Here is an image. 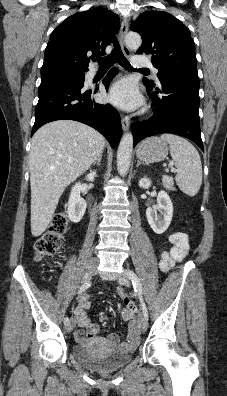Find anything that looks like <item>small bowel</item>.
Listing matches in <instances>:
<instances>
[{"mask_svg":"<svg viewBox=\"0 0 227 396\" xmlns=\"http://www.w3.org/2000/svg\"><path fill=\"white\" fill-rule=\"evenodd\" d=\"M169 242L171 243V248L164 251L160 261V268L163 271H167L172 268L176 262L182 261L189 252V239L188 235L183 232H175L169 236ZM120 297L125 298L124 292L118 290ZM91 306L90 296L83 294L78 298V305L74 310V321L82 328L76 331L75 337L80 342L91 341L99 344H113L122 345L120 343L119 336L116 334H111L104 337L100 334L99 326L94 323L87 315V310ZM134 305L125 304L122 308L121 315L123 320L129 322V331L127 335L125 346L132 347L136 345L139 341V327L136 319L134 318Z\"/></svg>","mask_w":227,"mask_h":396,"instance_id":"c3829d8e","label":"small bowel"}]
</instances>
